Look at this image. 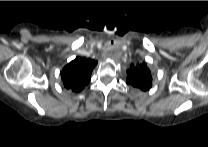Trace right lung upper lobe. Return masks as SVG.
Returning a JSON list of instances; mask_svg holds the SVG:
<instances>
[{
	"mask_svg": "<svg viewBox=\"0 0 208 147\" xmlns=\"http://www.w3.org/2000/svg\"><path fill=\"white\" fill-rule=\"evenodd\" d=\"M97 61L77 57L61 71L64 87L73 92L81 91L90 81V76Z\"/></svg>",
	"mask_w": 208,
	"mask_h": 147,
	"instance_id": "cb5924a9",
	"label": "right lung upper lobe"
}]
</instances>
